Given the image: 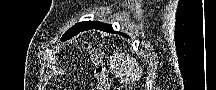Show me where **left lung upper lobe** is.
<instances>
[{"label": "left lung upper lobe", "instance_id": "left-lung-upper-lobe-1", "mask_svg": "<svg viewBox=\"0 0 216 90\" xmlns=\"http://www.w3.org/2000/svg\"><path fill=\"white\" fill-rule=\"evenodd\" d=\"M96 22H80L76 25H74L72 28H70L64 35L63 38L61 39L62 41H65L67 39H70L71 37L77 35L81 31H84L85 29L89 28L91 25L95 24Z\"/></svg>", "mask_w": 216, "mask_h": 90}]
</instances>
